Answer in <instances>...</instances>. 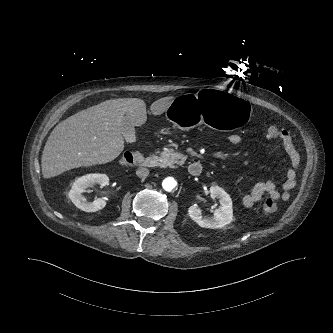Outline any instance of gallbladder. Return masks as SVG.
Instances as JSON below:
<instances>
[{"label": "gallbladder", "instance_id": "bac80fb5", "mask_svg": "<svg viewBox=\"0 0 333 333\" xmlns=\"http://www.w3.org/2000/svg\"><path fill=\"white\" fill-rule=\"evenodd\" d=\"M121 133L127 142L133 143L136 141L134 124L127 116L123 119Z\"/></svg>", "mask_w": 333, "mask_h": 333}]
</instances>
